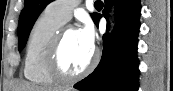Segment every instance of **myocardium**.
Wrapping results in <instances>:
<instances>
[{
	"label": "myocardium",
	"mask_w": 173,
	"mask_h": 91,
	"mask_svg": "<svg viewBox=\"0 0 173 91\" xmlns=\"http://www.w3.org/2000/svg\"><path fill=\"white\" fill-rule=\"evenodd\" d=\"M70 31H76V29L70 25L62 26L59 29L52 38L44 59V67L47 74L58 82L69 83L84 78L95 68L99 58L98 51L94 49L89 64L82 71L72 74L64 70L60 62V53L63 41Z\"/></svg>",
	"instance_id": "obj_1"
}]
</instances>
